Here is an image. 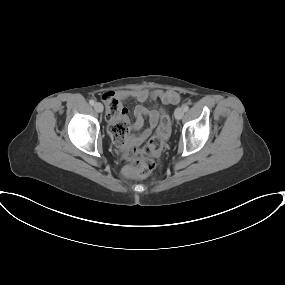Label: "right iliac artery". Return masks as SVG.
<instances>
[{"label": "right iliac artery", "mask_w": 285, "mask_h": 285, "mask_svg": "<svg viewBox=\"0 0 285 285\" xmlns=\"http://www.w3.org/2000/svg\"><path fill=\"white\" fill-rule=\"evenodd\" d=\"M89 103H90V105H94L95 101L94 100H90Z\"/></svg>", "instance_id": "right-iliac-artery-1"}]
</instances>
